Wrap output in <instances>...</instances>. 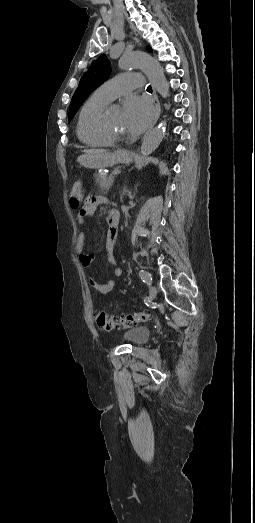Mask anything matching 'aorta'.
I'll return each instance as SVG.
<instances>
[{
    "instance_id": "aorta-1",
    "label": "aorta",
    "mask_w": 255,
    "mask_h": 523,
    "mask_svg": "<svg viewBox=\"0 0 255 523\" xmlns=\"http://www.w3.org/2000/svg\"><path fill=\"white\" fill-rule=\"evenodd\" d=\"M119 67L123 70L140 68L149 78L152 86L163 97L169 92V84L160 64L150 55L144 52H131L124 54L119 60ZM166 123L162 121L153 128L143 139L140 148L141 154L147 156L154 152L164 138Z\"/></svg>"
}]
</instances>
